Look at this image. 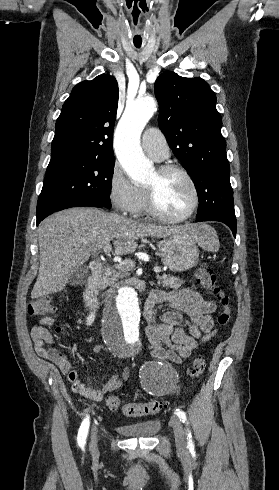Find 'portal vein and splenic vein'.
I'll use <instances>...</instances> for the list:
<instances>
[{
    "instance_id": "1",
    "label": "portal vein and splenic vein",
    "mask_w": 279,
    "mask_h": 490,
    "mask_svg": "<svg viewBox=\"0 0 279 490\" xmlns=\"http://www.w3.org/2000/svg\"><path fill=\"white\" fill-rule=\"evenodd\" d=\"M108 250H110V248H108ZM104 252H106V250H104ZM121 264H134V262H131V260H126V262H121ZM121 264H119V266H121ZM154 272H161V268L155 266Z\"/></svg>"
}]
</instances>
